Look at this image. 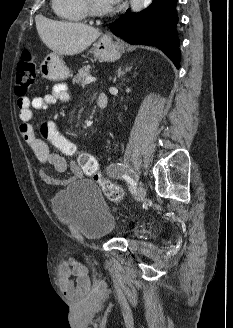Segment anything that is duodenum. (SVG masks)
<instances>
[{
	"mask_svg": "<svg viewBox=\"0 0 233 328\" xmlns=\"http://www.w3.org/2000/svg\"><path fill=\"white\" fill-rule=\"evenodd\" d=\"M97 105L99 108L104 109L108 105V97L106 94L102 93L98 96Z\"/></svg>",
	"mask_w": 233,
	"mask_h": 328,
	"instance_id": "1",
	"label": "duodenum"
}]
</instances>
